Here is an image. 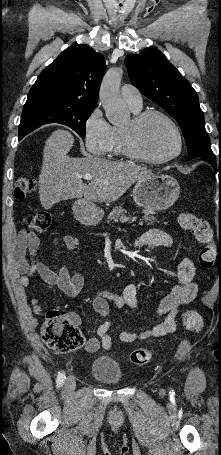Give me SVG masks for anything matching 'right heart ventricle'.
Listing matches in <instances>:
<instances>
[{
	"instance_id": "e07e8e85",
	"label": "right heart ventricle",
	"mask_w": 221,
	"mask_h": 455,
	"mask_svg": "<svg viewBox=\"0 0 221 455\" xmlns=\"http://www.w3.org/2000/svg\"><path fill=\"white\" fill-rule=\"evenodd\" d=\"M130 109L134 114L141 112L140 108H133L130 106ZM109 153L114 156H125L124 149L122 147V128L112 127V141L109 149Z\"/></svg>"
}]
</instances>
